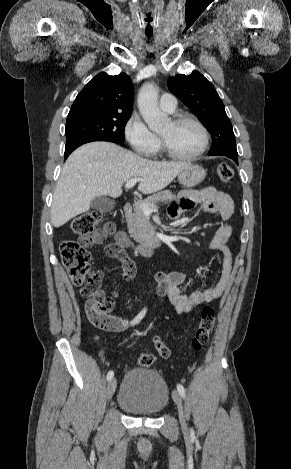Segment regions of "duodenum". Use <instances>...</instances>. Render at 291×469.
Wrapping results in <instances>:
<instances>
[{
    "instance_id": "obj_1",
    "label": "duodenum",
    "mask_w": 291,
    "mask_h": 469,
    "mask_svg": "<svg viewBox=\"0 0 291 469\" xmlns=\"http://www.w3.org/2000/svg\"><path fill=\"white\" fill-rule=\"evenodd\" d=\"M132 210H133L132 204L131 203H126L123 207V212H124L125 217H129L132 213ZM125 244L128 247L134 248V245L132 244L130 239L127 237V235H125ZM156 248H157L156 246H141V247H138L137 249L144 256H152L154 254Z\"/></svg>"
}]
</instances>
